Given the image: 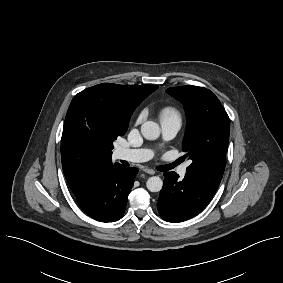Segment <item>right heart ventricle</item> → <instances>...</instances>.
<instances>
[{
	"label": "right heart ventricle",
	"mask_w": 283,
	"mask_h": 283,
	"mask_svg": "<svg viewBox=\"0 0 283 283\" xmlns=\"http://www.w3.org/2000/svg\"><path fill=\"white\" fill-rule=\"evenodd\" d=\"M159 117H160L161 122L167 121V120L180 121V113L173 106L164 107L160 111Z\"/></svg>",
	"instance_id": "obj_1"
}]
</instances>
